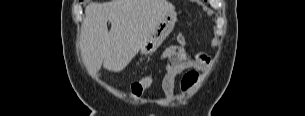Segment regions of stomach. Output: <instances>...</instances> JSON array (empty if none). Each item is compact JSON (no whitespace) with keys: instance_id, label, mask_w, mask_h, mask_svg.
<instances>
[{"instance_id":"0dacf381","label":"stomach","mask_w":305,"mask_h":116,"mask_svg":"<svg viewBox=\"0 0 305 116\" xmlns=\"http://www.w3.org/2000/svg\"><path fill=\"white\" fill-rule=\"evenodd\" d=\"M177 15L175 12L164 15L157 23L154 31L140 49L142 55H149L157 50L167 36L172 32Z\"/></svg>"}]
</instances>
